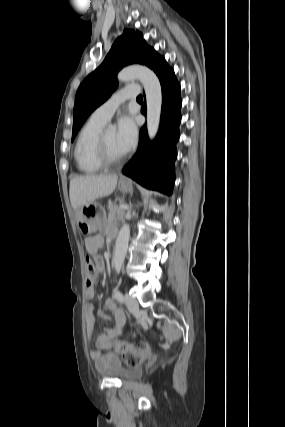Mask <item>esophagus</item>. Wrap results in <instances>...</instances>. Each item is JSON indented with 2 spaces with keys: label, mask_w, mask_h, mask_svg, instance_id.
I'll use <instances>...</instances> for the list:
<instances>
[{
  "label": "esophagus",
  "mask_w": 285,
  "mask_h": 427,
  "mask_svg": "<svg viewBox=\"0 0 285 427\" xmlns=\"http://www.w3.org/2000/svg\"><path fill=\"white\" fill-rule=\"evenodd\" d=\"M121 179H122V180H126V178H125V177H121Z\"/></svg>",
  "instance_id": "obj_1"
}]
</instances>
